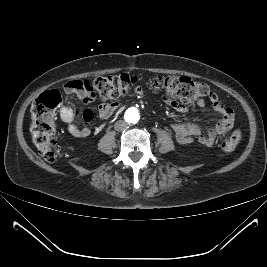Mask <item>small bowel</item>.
<instances>
[{
    "instance_id": "obj_1",
    "label": "small bowel",
    "mask_w": 267,
    "mask_h": 267,
    "mask_svg": "<svg viewBox=\"0 0 267 267\" xmlns=\"http://www.w3.org/2000/svg\"><path fill=\"white\" fill-rule=\"evenodd\" d=\"M80 80L68 81L64 86V91L67 94L76 95L83 103H89L91 98L87 90L81 86ZM138 93H142L141 87H136ZM165 100L170 104V106L178 112H186L187 107L177 101L170 100L164 97ZM210 101L216 112L221 115V118L214 128H209L204 131L199 125L194 123H173L171 124V129L174 133L176 140L181 144H188L194 140L199 143L211 147L215 144L219 136L224 135L234 124V113L233 110L218 99V97L211 93ZM199 107L205 106V101L199 99L197 102ZM117 108L116 104H101L99 106V116L101 119L110 118ZM83 118L86 122H90L93 119V111L89 108L85 109L82 113ZM60 119L66 124L67 131L76 138H86L90 135V128L84 126L79 127L75 124V113L74 111L66 106L61 105L59 108Z\"/></svg>"
}]
</instances>
